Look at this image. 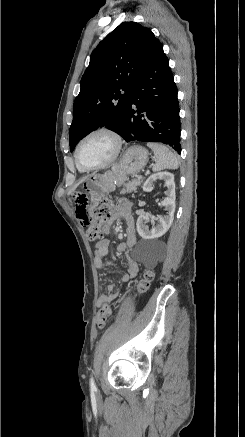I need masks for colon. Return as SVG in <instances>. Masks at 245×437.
<instances>
[{"mask_svg": "<svg viewBox=\"0 0 245 437\" xmlns=\"http://www.w3.org/2000/svg\"><path fill=\"white\" fill-rule=\"evenodd\" d=\"M111 205L108 200H103L91 214V226L86 229V235L89 241L94 242L101 237V225L110 217ZM82 225V224H81ZM153 279V273L146 271L138 282V291L144 293ZM112 310L109 304H105L97 313L96 325L98 329H102L107 321L111 318Z\"/></svg>", "mask_w": 245, "mask_h": 437, "instance_id": "5ec220e1", "label": "colon"}]
</instances>
